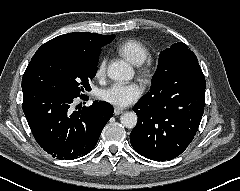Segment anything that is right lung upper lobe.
I'll list each match as a JSON object with an SVG mask.
<instances>
[{
  "instance_id": "right-lung-upper-lobe-1",
  "label": "right lung upper lobe",
  "mask_w": 240,
  "mask_h": 191,
  "mask_svg": "<svg viewBox=\"0 0 240 191\" xmlns=\"http://www.w3.org/2000/svg\"><path fill=\"white\" fill-rule=\"evenodd\" d=\"M115 35L78 32L60 35L43 44L35 54L43 51H59L72 55L99 56L100 48L112 40Z\"/></svg>"
}]
</instances>
